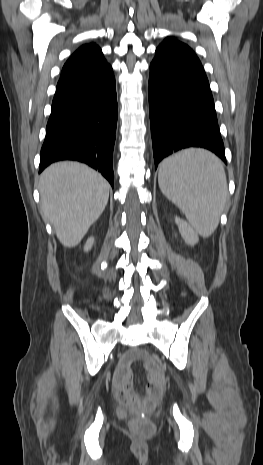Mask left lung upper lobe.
<instances>
[{
  "mask_svg": "<svg viewBox=\"0 0 263 465\" xmlns=\"http://www.w3.org/2000/svg\"><path fill=\"white\" fill-rule=\"evenodd\" d=\"M172 42L181 43V42L176 41V40L173 39V38H166L165 41H164L163 43H172ZM182 44H183V43H182Z\"/></svg>",
  "mask_w": 263,
  "mask_h": 465,
  "instance_id": "obj_1",
  "label": "left lung upper lobe"
}]
</instances>
